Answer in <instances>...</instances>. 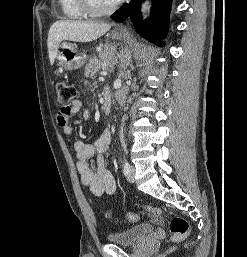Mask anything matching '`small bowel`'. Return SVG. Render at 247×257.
Here are the masks:
<instances>
[{
	"label": "small bowel",
	"instance_id": "obj_1",
	"mask_svg": "<svg viewBox=\"0 0 247 257\" xmlns=\"http://www.w3.org/2000/svg\"><path fill=\"white\" fill-rule=\"evenodd\" d=\"M82 108V102L74 100L68 110L59 111L57 120L66 135L73 134V127L69 120L72 115ZM85 117L88 113L85 112ZM112 133L109 129H105L93 144L85 143L82 140H76L73 144L77 158L76 168L80 174L81 182L88 187L95 196L111 195L116 191V181L113 174L104 166L103 160L97 156V168L94 170L90 165V160L96 154L103 153L110 145Z\"/></svg>",
	"mask_w": 247,
	"mask_h": 257
}]
</instances>
